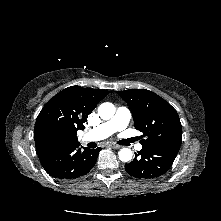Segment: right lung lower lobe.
Wrapping results in <instances>:
<instances>
[{
  "label": "right lung lower lobe",
  "mask_w": 221,
  "mask_h": 221,
  "mask_svg": "<svg viewBox=\"0 0 221 221\" xmlns=\"http://www.w3.org/2000/svg\"><path fill=\"white\" fill-rule=\"evenodd\" d=\"M101 148H79L78 143L49 146L37 150L45 171L56 178L74 180L86 175L95 165Z\"/></svg>",
  "instance_id": "1"
}]
</instances>
